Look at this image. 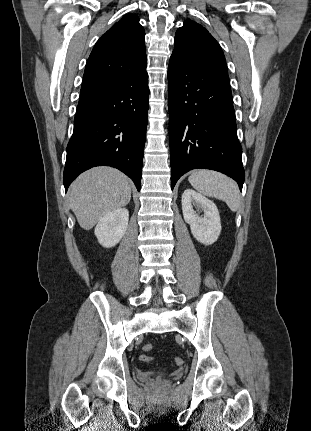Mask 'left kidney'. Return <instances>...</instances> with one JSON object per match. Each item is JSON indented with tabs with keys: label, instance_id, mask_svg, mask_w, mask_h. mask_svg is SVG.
Masks as SVG:
<instances>
[{
	"label": "left kidney",
	"instance_id": "obj_1",
	"mask_svg": "<svg viewBox=\"0 0 311 431\" xmlns=\"http://www.w3.org/2000/svg\"><path fill=\"white\" fill-rule=\"evenodd\" d=\"M181 204L183 217L186 223H189L192 235L205 245L214 243L222 229L221 219L215 204L194 190L183 192ZM199 212H203V217L199 216Z\"/></svg>",
	"mask_w": 311,
	"mask_h": 431
}]
</instances>
